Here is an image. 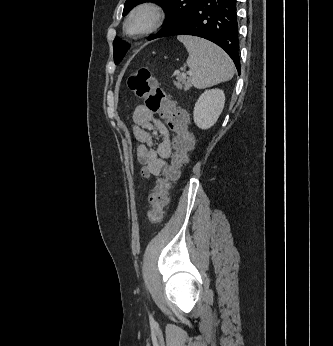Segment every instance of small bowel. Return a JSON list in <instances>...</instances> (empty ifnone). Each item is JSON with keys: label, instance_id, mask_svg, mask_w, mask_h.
<instances>
[{"label": "small bowel", "instance_id": "obj_1", "mask_svg": "<svg viewBox=\"0 0 333 346\" xmlns=\"http://www.w3.org/2000/svg\"><path fill=\"white\" fill-rule=\"evenodd\" d=\"M131 115L132 133L140 143L137 155L143 165L142 174L144 177L158 176L173 151L170 128L143 105H136Z\"/></svg>", "mask_w": 333, "mask_h": 346}]
</instances>
